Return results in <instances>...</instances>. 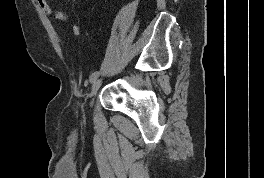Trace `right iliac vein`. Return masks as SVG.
<instances>
[{"label": "right iliac vein", "mask_w": 264, "mask_h": 178, "mask_svg": "<svg viewBox=\"0 0 264 178\" xmlns=\"http://www.w3.org/2000/svg\"><path fill=\"white\" fill-rule=\"evenodd\" d=\"M101 79H94L93 82H92V87H91V91L88 95L89 99L92 100L93 97L95 96L97 90L99 89L100 85H101Z\"/></svg>", "instance_id": "1"}]
</instances>
